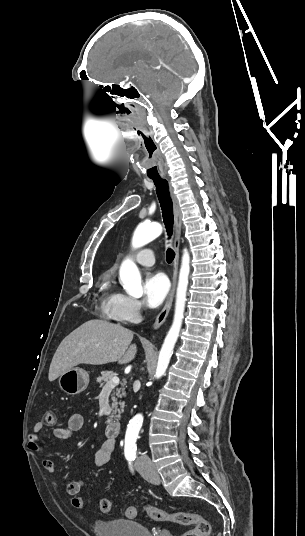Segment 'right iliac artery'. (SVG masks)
<instances>
[{"label":"right iliac artery","mask_w":305,"mask_h":536,"mask_svg":"<svg viewBox=\"0 0 305 536\" xmlns=\"http://www.w3.org/2000/svg\"><path fill=\"white\" fill-rule=\"evenodd\" d=\"M127 460H128V462H129V466H130V468L132 469V461L134 460V458L127 457Z\"/></svg>","instance_id":"82829eb1"}]
</instances>
